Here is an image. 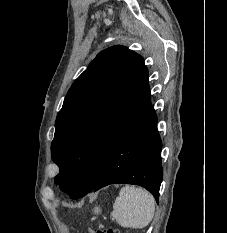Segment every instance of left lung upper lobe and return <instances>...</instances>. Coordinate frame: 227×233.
<instances>
[{
  "mask_svg": "<svg viewBox=\"0 0 227 233\" xmlns=\"http://www.w3.org/2000/svg\"><path fill=\"white\" fill-rule=\"evenodd\" d=\"M150 106L143 58L123 46L101 51L72 84L57 115L55 183L73 198L89 193L119 139Z\"/></svg>",
  "mask_w": 227,
  "mask_h": 233,
  "instance_id": "left-lung-upper-lobe-1",
  "label": "left lung upper lobe"
}]
</instances>
